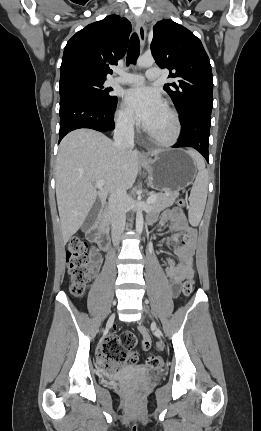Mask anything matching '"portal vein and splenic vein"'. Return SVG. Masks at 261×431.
I'll list each match as a JSON object with an SVG mask.
<instances>
[{
	"mask_svg": "<svg viewBox=\"0 0 261 431\" xmlns=\"http://www.w3.org/2000/svg\"><path fill=\"white\" fill-rule=\"evenodd\" d=\"M105 185V182L103 180H97L95 181V186L97 188H102ZM156 200L155 195H152L150 197L147 198V204H151Z\"/></svg>",
	"mask_w": 261,
	"mask_h": 431,
	"instance_id": "portal-vein-and-splenic-vein-1",
	"label": "portal vein and splenic vein"
}]
</instances>
